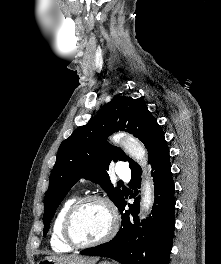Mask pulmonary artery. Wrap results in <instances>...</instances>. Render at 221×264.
Wrapping results in <instances>:
<instances>
[{
    "label": "pulmonary artery",
    "mask_w": 221,
    "mask_h": 264,
    "mask_svg": "<svg viewBox=\"0 0 221 264\" xmlns=\"http://www.w3.org/2000/svg\"><path fill=\"white\" fill-rule=\"evenodd\" d=\"M116 173L122 179H129L130 177V170L127 165L123 162L118 163ZM81 181L84 182V179H81Z\"/></svg>",
    "instance_id": "obj_1"
}]
</instances>
